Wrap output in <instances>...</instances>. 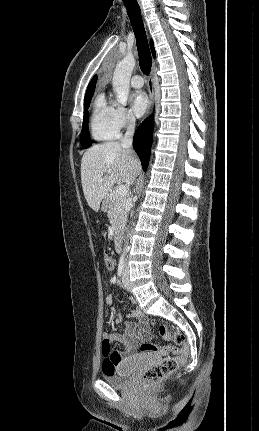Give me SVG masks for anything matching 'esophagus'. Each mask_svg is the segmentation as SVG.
Masks as SVG:
<instances>
[{
  "label": "esophagus",
  "mask_w": 259,
  "mask_h": 431,
  "mask_svg": "<svg viewBox=\"0 0 259 431\" xmlns=\"http://www.w3.org/2000/svg\"><path fill=\"white\" fill-rule=\"evenodd\" d=\"M148 90H149V97H150L149 107H148V115H149L152 111L153 102H154V68L152 69L150 77L148 79Z\"/></svg>",
  "instance_id": "1"
}]
</instances>
